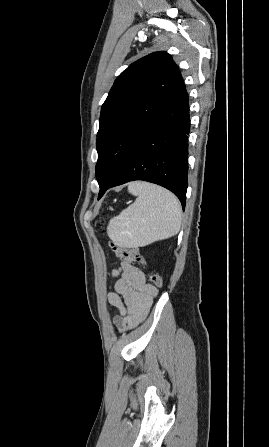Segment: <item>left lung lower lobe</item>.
<instances>
[{
    "label": "left lung lower lobe",
    "instance_id": "0a47b994",
    "mask_svg": "<svg viewBox=\"0 0 269 447\" xmlns=\"http://www.w3.org/2000/svg\"><path fill=\"white\" fill-rule=\"evenodd\" d=\"M189 132L188 95L180 77L165 114L145 133L114 181L100 187L99 198L110 187L134 180H144L172 191L181 201L184 210Z\"/></svg>",
    "mask_w": 269,
    "mask_h": 447
}]
</instances>
